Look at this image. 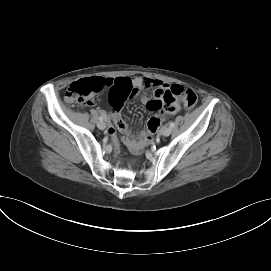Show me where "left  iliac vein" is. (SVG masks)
Wrapping results in <instances>:
<instances>
[{
  "instance_id": "4c4485c4",
  "label": "left iliac vein",
  "mask_w": 271,
  "mask_h": 271,
  "mask_svg": "<svg viewBox=\"0 0 271 271\" xmlns=\"http://www.w3.org/2000/svg\"><path fill=\"white\" fill-rule=\"evenodd\" d=\"M172 130L170 127H164L162 130H161V134L163 136H169L171 134Z\"/></svg>"
}]
</instances>
